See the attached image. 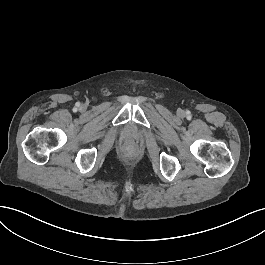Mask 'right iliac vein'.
I'll use <instances>...</instances> for the list:
<instances>
[{"label": "right iliac vein", "instance_id": "obj_1", "mask_svg": "<svg viewBox=\"0 0 265 265\" xmlns=\"http://www.w3.org/2000/svg\"><path fill=\"white\" fill-rule=\"evenodd\" d=\"M81 109L85 110V107H81Z\"/></svg>", "mask_w": 265, "mask_h": 265}]
</instances>
